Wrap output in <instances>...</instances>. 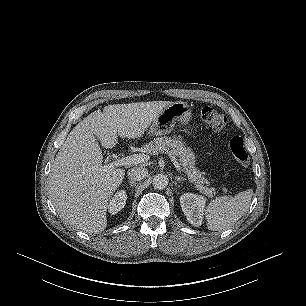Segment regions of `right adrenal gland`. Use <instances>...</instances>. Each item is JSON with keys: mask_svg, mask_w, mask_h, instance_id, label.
I'll list each match as a JSON object with an SVG mask.
<instances>
[{"mask_svg": "<svg viewBox=\"0 0 306 306\" xmlns=\"http://www.w3.org/2000/svg\"><path fill=\"white\" fill-rule=\"evenodd\" d=\"M128 183L130 184V186L133 188L136 186V182L128 180Z\"/></svg>", "mask_w": 306, "mask_h": 306, "instance_id": "1", "label": "right adrenal gland"}]
</instances>
